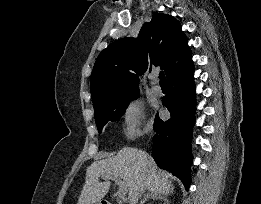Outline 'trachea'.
I'll return each instance as SVG.
<instances>
[{"mask_svg": "<svg viewBox=\"0 0 261 204\" xmlns=\"http://www.w3.org/2000/svg\"><path fill=\"white\" fill-rule=\"evenodd\" d=\"M159 79H160V84H166V83H167V82H166V78H165V74H164L163 71H161V72L159 73Z\"/></svg>", "mask_w": 261, "mask_h": 204, "instance_id": "trachea-1", "label": "trachea"}]
</instances>
